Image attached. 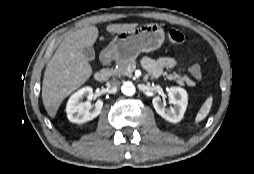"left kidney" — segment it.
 Here are the masks:
<instances>
[{"label": "left kidney", "mask_w": 254, "mask_h": 174, "mask_svg": "<svg viewBox=\"0 0 254 174\" xmlns=\"http://www.w3.org/2000/svg\"><path fill=\"white\" fill-rule=\"evenodd\" d=\"M167 95L170 99V103L173 105L170 108L165 107L159 96L153 98L152 104L155 111L162 118L169 122L177 123L182 120L188 104L187 92L180 87H171Z\"/></svg>", "instance_id": "1"}]
</instances>
